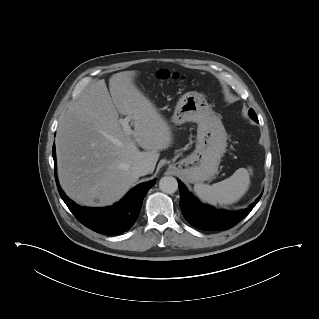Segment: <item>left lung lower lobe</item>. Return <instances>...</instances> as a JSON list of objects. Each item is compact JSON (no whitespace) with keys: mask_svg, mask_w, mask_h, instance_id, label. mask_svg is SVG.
Masks as SVG:
<instances>
[{"mask_svg":"<svg viewBox=\"0 0 319 319\" xmlns=\"http://www.w3.org/2000/svg\"><path fill=\"white\" fill-rule=\"evenodd\" d=\"M255 121H258L256 119ZM180 207L185 219L194 227L206 231L226 230L244 219L260 200L262 194L249 207L238 210H218L200 203L178 180Z\"/></svg>","mask_w":319,"mask_h":319,"instance_id":"1","label":"left lung lower lobe"}]
</instances>
